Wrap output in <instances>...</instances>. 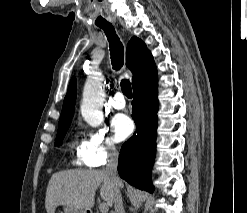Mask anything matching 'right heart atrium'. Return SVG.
Returning a JSON list of instances; mask_svg holds the SVG:
<instances>
[{"mask_svg": "<svg viewBox=\"0 0 247 213\" xmlns=\"http://www.w3.org/2000/svg\"><path fill=\"white\" fill-rule=\"evenodd\" d=\"M118 154L117 146L106 128L90 130L77 153L89 167H101Z\"/></svg>", "mask_w": 247, "mask_h": 213, "instance_id": "1", "label": "right heart atrium"}]
</instances>
